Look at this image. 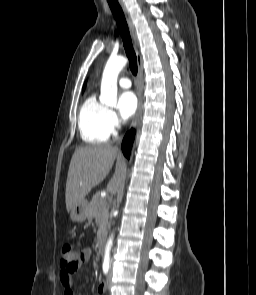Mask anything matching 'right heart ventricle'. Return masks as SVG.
Wrapping results in <instances>:
<instances>
[{"label":"right heart ventricle","mask_w":256,"mask_h":295,"mask_svg":"<svg viewBox=\"0 0 256 295\" xmlns=\"http://www.w3.org/2000/svg\"><path fill=\"white\" fill-rule=\"evenodd\" d=\"M108 108L95 94L89 95L79 110V131L82 139L88 143L106 142L111 132L107 124Z\"/></svg>","instance_id":"e07e8e85"}]
</instances>
